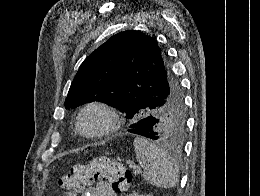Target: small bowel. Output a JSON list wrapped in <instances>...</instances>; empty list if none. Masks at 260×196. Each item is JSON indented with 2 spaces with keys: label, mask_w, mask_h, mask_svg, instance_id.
Returning a JSON list of instances; mask_svg holds the SVG:
<instances>
[{
  "label": "small bowel",
  "mask_w": 260,
  "mask_h": 196,
  "mask_svg": "<svg viewBox=\"0 0 260 196\" xmlns=\"http://www.w3.org/2000/svg\"><path fill=\"white\" fill-rule=\"evenodd\" d=\"M84 196H117L108 181L100 180L95 185L89 186Z\"/></svg>",
  "instance_id": "obj_1"
}]
</instances>
